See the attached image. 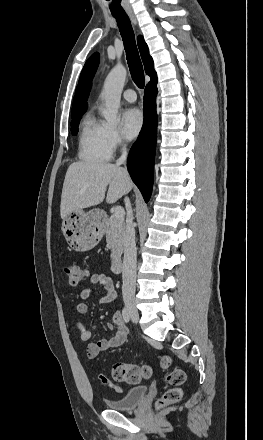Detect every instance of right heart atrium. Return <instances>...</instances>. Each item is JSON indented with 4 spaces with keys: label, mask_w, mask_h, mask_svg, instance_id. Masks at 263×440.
Here are the masks:
<instances>
[{
    "label": "right heart atrium",
    "mask_w": 263,
    "mask_h": 440,
    "mask_svg": "<svg viewBox=\"0 0 263 440\" xmlns=\"http://www.w3.org/2000/svg\"><path fill=\"white\" fill-rule=\"evenodd\" d=\"M106 138H107V143L112 151H115L116 149H118L119 147L125 144V140L122 134L115 127H111V126L107 127Z\"/></svg>",
    "instance_id": "right-heart-atrium-1"
}]
</instances>
